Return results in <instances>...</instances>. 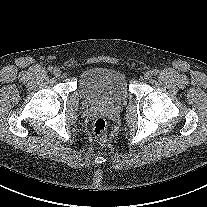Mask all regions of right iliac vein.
Masks as SVG:
<instances>
[{"mask_svg":"<svg viewBox=\"0 0 207 207\" xmlns=\"http://www.w3.org/2000/svg\"><path fill=\"white\" fill-rule=\"evenodd\" d=\"M53 74L56 76V77H59L61 75V70L59 68H55L53 70Z\"/></svg>","mask_w":207,"mask_h":207,"instance_id":"63e3f726","label":"right iliac vein"}]
</instances>
